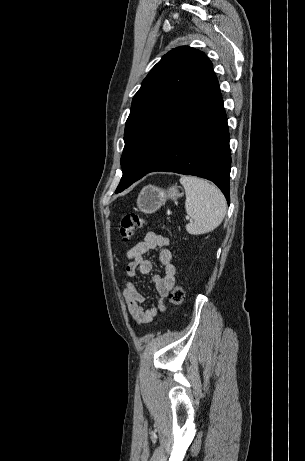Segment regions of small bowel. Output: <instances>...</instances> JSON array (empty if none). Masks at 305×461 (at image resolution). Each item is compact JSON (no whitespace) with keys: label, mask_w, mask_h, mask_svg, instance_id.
<instances>
[{"label":"small bowel","mask_w":305,"mask_h":461,"mask_svg":"<svg viewBox=\"0 0 305 461\" xmlns=\"http://www.w3.org/2000/svg\"><path fill=\"white\" fill-rule=\"evenodd\" d=\"M170 240L162 233L149 232L144 239L134 245L126 252L128 264L127 275L135 278L138 274L147 275L152 270V262L144 255L149 251L160 248L159 260L163 267V276H154L153 281L158 291V302L156 306L144 307V297L138 291L133 280L125 283L123 297L127 304V311L132 320L138 324L149 323L157 315L163 312L168 303V295L176 281V267L173 264L172 253L169 249Z\"/></svg>","instance_id":"small-bowel-1"}]
</instances>
